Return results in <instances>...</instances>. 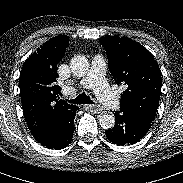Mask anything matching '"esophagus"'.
Returning a JSON list of instances; mask_svg holds the SVG:
<instances>
[{
    "label": "esophagus",
    "mask_w": 183,
    "mask_h": 183,
    "mask_svg": "<svg viewBox=\"0 0 183 183\" xmlns=\"http://www.w3.org/2000/svg\"><path fill=\"white\" fill-rule=\"evenodd\" d=\"M84 108L86 110H90V111H93L97 114L101 113L103 111V109L99 106H96V105H91V104H88V105H85Z\"/></svg>",
    "instance_id": "1"
}]
</instances>
